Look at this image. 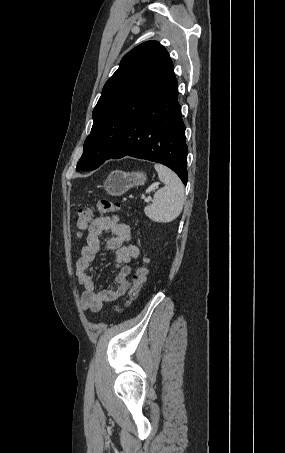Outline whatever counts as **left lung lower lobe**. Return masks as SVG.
<instances>
[{"label": "left lung lower lobe", "instance_id": "1", "mask_svg": "<svg viewBox=\"0 0 285 453\" xmlns=\"http://www.w3.org/2000/svg\"><path fill=\"white\" fill-rule=\"evenodd\" d=\"M177 97L178 84L172 67L153 99L132 122L106 160L131 156L161 163L171 168L186 184L188 148Z\"/></svg>", "mask_w": 285, "mask_h": 453}]
</instances>
